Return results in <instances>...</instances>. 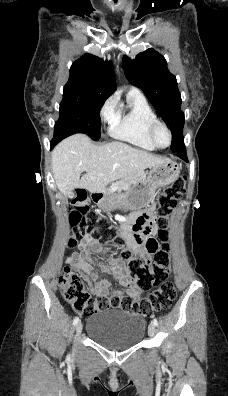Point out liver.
Listing matches in <instances>:
<instances>
[{"instance_id": "liver-1", "label": "liver", "mask_w": 228, "mask_h": 396, "mask_svg": "<svg viewBox=\"0 0 228 396\" xmlns=\"http://www.w3.org/2000/svg\"><path fill=\"white\" fill-rule=\"evenodd\" d=\"M170 161L126 143L95 145L84 134L60 142L52 152L53 176L59 191L68 196L75 188L103 193L106 186L146 168ZM86 172L81 178V173Z\"/></svg>"}]
</instances>
